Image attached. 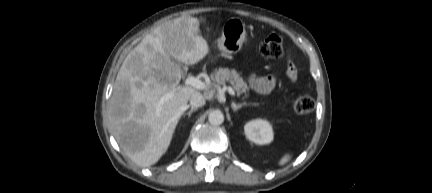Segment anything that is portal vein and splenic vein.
I'll return each instance as SVG.
<instances>
[{
	"mask_svg": "<svg viewBox=\"0 0 432 193\" xmlns=\"http://www.w3.org/2000/svg\"><path fill=\"white\" fill-rule=\"evenodd\" d=\"M187 86H192L196 89H206L208 86L205 82L201 81L199 78L190 76L185 80ZM226 90L231 96H235V91L231 86H226ZM172 94H167L165 98H170Z\"/></svg>",
	"mask_w": 432,
	"mask_h": 193,
	"instance_id": "portal-vein-and-splenic-vein-1",
	"label": "portal vein and splenic vein"
}]
</instances>
